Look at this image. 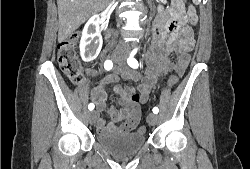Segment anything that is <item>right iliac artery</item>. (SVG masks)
I'll list each match as a JSON object with an SVG mask.
<instances>
[{"label": "right iliac artery", "mask_w": 250, "mask_h": 169, "mask_svg": "<svg viewBox=\"0 0 250 169\" xmlns=\"http://www.w3.org/2000/svg\"><path fill=\"white\" fill-rule=\"evenodd\" d=\"M112 67H113V63H112V61L111 60H106L105 61V63H104V68L106 69V70H111L112 69ZM94 104L93 103H90L89 105H88V109L89 110H93L94 109Z\"/></svg>", "instance_id": "1"}]
</instances>
